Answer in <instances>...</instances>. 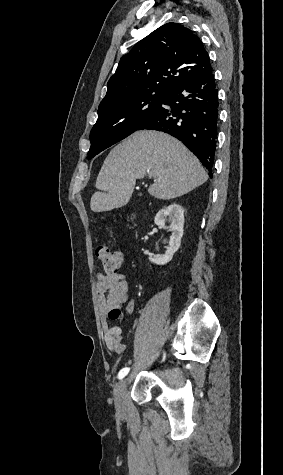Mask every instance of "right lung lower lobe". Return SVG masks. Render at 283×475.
Here are the masks:
<instances>
[{
	"label": "right lung lower lobe",
	"mask_w": 283,
	"mask_h": 475,
	"mask_svg": "<svg viewBox=\"0 0 283 475\" xmlns=\"http://www.w3.org/2000/svg\"><path fill=\"white\" fill-rule=\"evenodd\" d=\"M163 105H170V108ZM218 90L213 70L175 85L138 130L166 132L181 140L212 178L219 121Z\"/></svg>",
	"instance_id": "98d812e1"
}]
</instances>
